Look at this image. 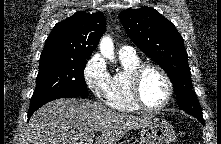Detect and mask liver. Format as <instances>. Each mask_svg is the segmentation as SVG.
<instances>
[{"label":"liver","instance_id":"6515ba94","mask_svg":"<svg viewBox=\"0 0 221 144\" xmlns=\"http://www.w3.org/2000/svg\"><path fill=\"white\" fill-rule=\"evenodd\" d=\"M151 118L112 111L88 99H57L32 115L24 137L26 144H85L99 132L95 144H116Z\"/></svg>","mask_w":221,"mask_h":144}]
</instances>
